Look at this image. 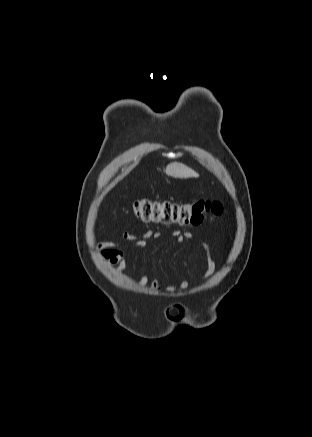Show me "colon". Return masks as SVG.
I'll list each match as a JSON object with an SVG mask.
<instances>
[{"mask_svg": "<svg viewBox=\"0 0 312 437\" xmlns=\"http://www.w3.org/2000/svg\"><path fill=\"white\" fill-rule=\"evenodd\" d=\"M134 216L147 223L199 225L208 218L222 215L220 203L196 200L179 203L171 200L143 198L132 205Z\"/></svg>", "mask_w": 312, "mask_h": 437, "instance_id": "1", "label": "colon"}]
</instances>
